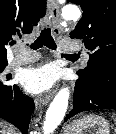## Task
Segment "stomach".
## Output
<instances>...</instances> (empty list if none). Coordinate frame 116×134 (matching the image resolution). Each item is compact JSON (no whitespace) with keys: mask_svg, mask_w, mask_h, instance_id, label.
Masks as SVG:
<instances>
[{"mask_svg":"<svg viewBox=\"0 0 116 134\" xmlns=\"http://www.w3.org/2000/svg\"><path fill=\"white\" fill-rule=\"evenodd\" d=\"M109 122L97 115H88L70 123L65 134H109Z\"/></svg>","mask_w":116,"mask_h":134,"instance_id":"0dacf381","label":"stomach"}]
</instances>
